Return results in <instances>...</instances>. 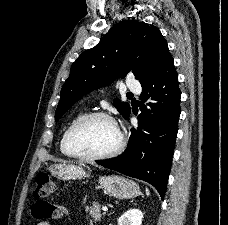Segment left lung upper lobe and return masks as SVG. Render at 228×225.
Instances as JSON below:
<instances>
[{"mask_svg": "<svg viewBox=\"0 0 228 225\" xmlns=\"http://www.w3.org/2000/svg\"><path fill=\"white\" fill-rule=\"evenodd\" d=\"M169 55L167 41L158 28L136 20L116 24L98 45L83 52L73 63L61 90L55 120L83 95L117 77L124 78L132 72L144 83L156 74ZM113 104L128 118L131 110L128 103L115 99Z\"/></svg>", "mask_w": 228, "mask_h": 225, "instance_id": "obj_1", "label": "left lung upper lobe"}]
</instances>
